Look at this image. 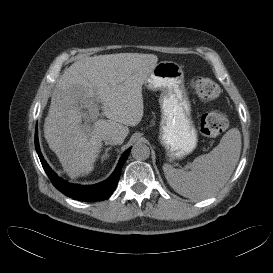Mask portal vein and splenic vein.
Here are the masks:
<instances>
[{
	"instance_id": "portal-vein-and-splenic-vein-1",
	"label": "portal vein and splenic vein",
	"mask_w": 273,
	"mask_h": 273,
	"mask_svg": "<svg viewBox=\"0 0 273 273\" xmlns=\"http://www.w3.org/2000/svg\"><path fill=\"white\" fill-rule=\"evenodd\" d=\"M89 116H90L89 119H91V121L96 122L97 119H98V116H99V109H98V107L90 108L89 109ZM84 127L86 129H90L91 125H89L88 122L85 121L84 122Z\"/></svg>"
}]
</instances>
